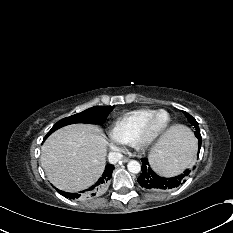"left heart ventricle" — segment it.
Here are the masks:
<instances>
[{"mask_svg": "<svg viewBox=\"0 0 233 233\" xmlns=\"http://www.w3.org/2000/svg\"><path fill=\"white\" fill-rule=\"evenodd\" d=\"M165 119L166 116L164 114L158 115L153 124L154 129L160 127L164 123Z\"/></svg>", "mask_w": 233, "mask_h": 233, "instance_id": "left-heart-ventricle-1", "label": "left heart ventricle"}]
</instances>
